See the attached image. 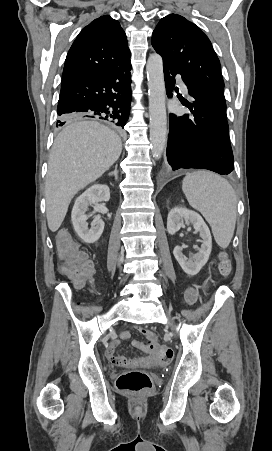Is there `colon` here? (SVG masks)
<instances>
[{
	"instance_id": "1",
	"label": "colon",
	"mask_w": 272,
	"mask_h": 451,
	"mask_svg": "<svg viewBox=\"0 0 272 451\" xmlns=\"http://www.w3.org/2000/svg\"><path fill=\"white\" fill-rule=\"evenodd\" d=\"M57 245L59 248L60 260L66 262H59V271H65L70 282L74 283L77 288L84 286L86 278L91 277V264L86 262L87 252L81 251L78 247V242L73 240L71 235L66 231H61L57 234ZM219 271L222 275H228L232 271V265L225 254L219 255ZM78 303H87V294H78ZM147 351H154L158 355V359L162 364L168 363L173 358V351L167 350L166 345H157L156 342H147ZM159 362V363H160ZM112 367H127L128 360L122 356H114L111 358ZM152 386L149 375L141 370H128L118 376L116 380L117 390L130 393H139L150 389Z\"/></svg>"
}]
</instances>
